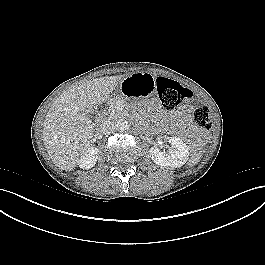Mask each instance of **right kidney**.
<instances>
[{"instance_id":"right-kidney-1","label":"right kidney","mask_w":265,"mask_h":265,"mask_svg":"<svg viewBox=\"0 0 265 265\" xmlns=\"http://www.w3.org/2000/svg\"><path fill=\"white\" fill-rule=\"evenodd\" d=\"M98 149L91 146L85 153H83L78 161V165L82 169H90L95 166L98 159Z\"/></svg>"}]
</instances>
